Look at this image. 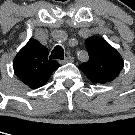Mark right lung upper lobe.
Returning a JSON list of instances; mask_svg holds the SVG:
<instances>
[{"instance_id": "right-lung-upper-lobe-1", "label": "right lung upper lobe", "mask_w": 135, "mask_h": 135, "mask_svg": "<svg viewBox=\"0 0 135 135\" xmlns=\"http://www.w3.org/2000/svg\"><path fill=\"white\" fill-rule=\"evenodd\" d=\"M59 66L55 60L48 59L47 48L33 38L19 51L13 61L15 74L31 88L43 86Z\"/></svg>"}]
</instances>
